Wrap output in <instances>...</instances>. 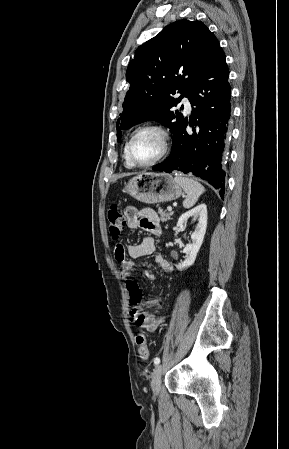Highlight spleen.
<instances>
[{"label": "spleen", "mask_w": 289, "mask_h": 449, "mask_svg": "<svg viewBox=\"0 0 289 449\" xmlns=\"http://www.w3.org/2000/svg\"><path fill=\"white\" fill-rule=\"evenodd\" d=\"M187 194L185 200L183 201V207L188 209L195 205L198 198L205 192V188L196 180L183 176L177 175L174 178Z\"/></svg>", "instance_id": "3e777b00"}]
</instances>
